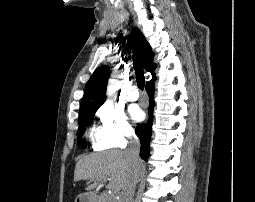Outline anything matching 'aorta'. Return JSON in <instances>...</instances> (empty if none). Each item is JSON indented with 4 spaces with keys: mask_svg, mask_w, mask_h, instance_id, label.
Returning a JSON list of instances; mask_svg holds the SVG:
<instances>
[{
    "mask_svg": "<svg viewBox=\"0 0 255 202\" xmlns=\"http://www.w3.org/2000/svg\"><path fill=\"white\" fill-rule=\"evenodd\" d=\"M112 80L110 81V86L108 89V93L111 94L119 85V78H120V74L119 71L114 70L113 74H112Z\"/></svg>",
    "mask_w": 255,
    "mask_h": 202,
    "instance_id": "762f6f07",
    "label": "aorta"
}]
</instances>
